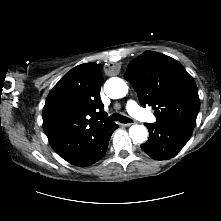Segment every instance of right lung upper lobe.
Listing matches in <instances>:
<instances>
[{
    "label": "right lung upper lobe",
    "instance_id": "obj_1",
    "mask_svg": "<svg viewBox=\"0 0 221 221\" xmlns=\"http://www.w3.org/2000/svg\"><path fill=\"white\" fill-rule=\"evenodd\" d=\"M102 83L98 65L85 63L64 75L46 99L43 128L51 147L66 161L113 123L103 119Z\"/></svg>",
    "mask_w": 221,
    "mask_h": 221
}]
</instances>
